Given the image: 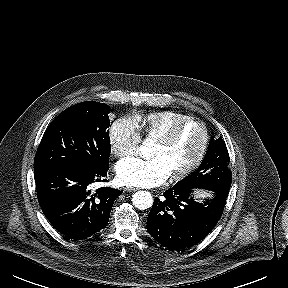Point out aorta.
Masks as SVG:
<instances>
[{"label": "aorta", "instance_id": "1", "mask_svg": "<svg viewBox=\"0 0 288 288\" xmlns=\"http://www.w3.org/2000/svg\"><path fill=\"white\" fill-rule=\"evenodd\" d=\"M140 155L145 159L152 157L153 150L150 142L148 141L143 142V144L140 147ZM132 203L136 208L140 210H146L152 206L153 197L150 194V192L138 191L132 195Z\"/></svg>", "mask_w": 288, "mask_h": 288}]
</instances>
